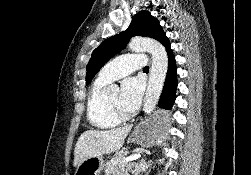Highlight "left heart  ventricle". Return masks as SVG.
<instances>
[{
  "mask_svg": "<svg viewBox=\"0 0 251 175\" xmlns=\"http://www.w3.org/2000/svg\"><path fill=\"white\" fill-rule=\"evenodd\" d=\"M107 99L115 110H121L120 92L112 93Z\"/></svg>",
  "mask_w": 251,
  "mask_h": 175,
  "instance_id": "obj_1",
  "label": "left heart ventricle"
}]
</instances>
